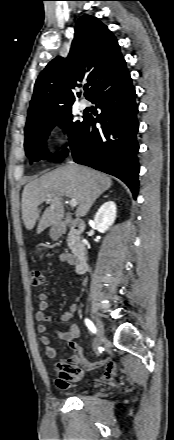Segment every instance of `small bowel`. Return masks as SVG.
<instances>
[{
    "mask_svg": "<svg viewBox=\"0 0 174 440\" xmlns=\"http://www.w3.org/2000/svg\"><path fill=\"white\" fill-rule=\"evenodd\" d=\"M59 260L62 263H68L71 265L75 264L74 257L68 253L61 254ZM38 300L36 319L38 320L39 324L37 326V331L39 334H41V343L44 346L45 355L48 358L53 359L56 357L57 352L52 346L50 338L47 336L49 329L48 325L52 321V317L47 314V309L49 306L48 296L45 293H41L38 296ZM80 300L81 296L77 298V301ZM77 310L78 307L76 304L70 306L68 311L59 316V321H69ZM55 332L60 339L67 342L68 346L73 352L68 358L59 360L55 364L57 374L56 384L59 387H70L74 383L78 382L82 378L84 370L105 368V372L98 379L100 382L112 380L116 377L117 364L111 358L101 359L95 362H88L84 359L83 348L75 341L80 335L78 325L71 324L65 331L55 330Z\"/></svg>",
    "mask_w": 174,
    "mask_h": 440,
    "instance_id": "obj_1",
    "label": "small bowel"
}]
</instances>
